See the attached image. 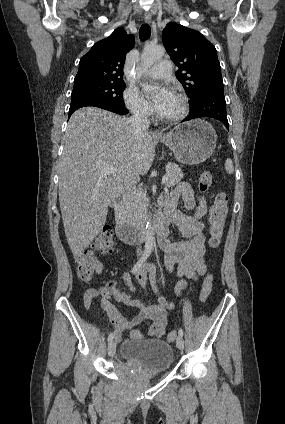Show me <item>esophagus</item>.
<instances>
[{
	"label": "esophagus",
	"mask_w": 285,
	"mask_h": 424,
	"mask_svg": "<svg viewBox=\"0 0 285 424\" xmlns=\"http://www.w3.org/2000/svg\"><path fill=\"white\" fill-rule=\"evenodd\" d=\"M144 20H145V22L147 24L151 23V20H152L151 14L150 13H145ZM153 136L159 137V136H161V133L156 130V131L153 132Z\"/></svg>",
	"instance_id": "34e87169"
}]
</instances>
